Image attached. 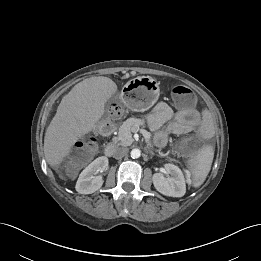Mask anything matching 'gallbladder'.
Segmentation results:
<instances>
[{
  "instance_id": "gallbladder-1",
  "label": "gallbladder",
  "mask_w": 261,
  "mask_h": 261,
  "mask_svg": "<svg viewBox=\"0 0 261 261\" xmlns=\"http://www.w3.org/2000/svg\"><path fill=\"white\" fill-rule=\"evenodd\" d=\"M114 98L116 99V98H117V96H116V95H113L111 100H113Z\"/></svg>"
}]
</instances>
